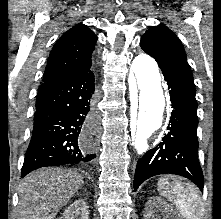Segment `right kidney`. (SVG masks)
<instances>
[{"instance_id": "right-kidney-1", "label": "right kidney", "mask_w": 221, "mask_h": 219, "mask_svg": "<svg viewBox=\"0 0 221 219\" xmlns=\"http://www.w3.org/2000/svg\"><path fill=\"white\" fill-rule=\"evenodd\" d=\"M59 219H89V210L84 199L70 204Z\"/></svg>"}]
</instances>
